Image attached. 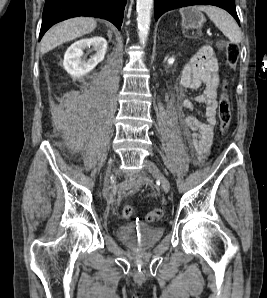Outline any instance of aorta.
<instances>
[{
	"instance_id": "aorta-1",
	"label": "aorta",
	"mask_w": 267,
	"mask_h": 298,
	"mask_svg": "<svg viewBox=\"0 0 267 298\" xmlns=\"http://www.w3.org/2000/svg\"><path fill=\"white\" fill-rule=\"evenodd\" d=\"M153 0H137V27L140 43L147 41L151 23Z\"/></svg>"
}]
</instances>
